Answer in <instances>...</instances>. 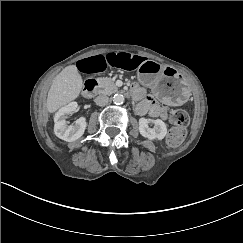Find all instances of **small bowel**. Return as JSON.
I'll return each mask as SVG.
<instances>
[{
  "label": "small bowel",
  "instance_id": "c3829d8e",
  "mask_svg": "<svg viewBox=\"0 0 243 243\" xmlns=\"http://www.w3.org/2000/svg\"><path fill=\"white\" fill-rule=\"evenodd\" d=\"M144 58L140 55L130 54L126 52H108L96 54L88 58L82 59L78 63V67L85 73L102 72L108 68H119L124 70H134L142 62ZM134 92L138 97H143L144 92L139 86L134 87ZM136 110L139 114L149 113L153 117L166 118V109L163 105L151 97H147L141 101Z\"/></svg>",
  "mask_w": 243,
  "mask_h": 243
}]
</instances>
